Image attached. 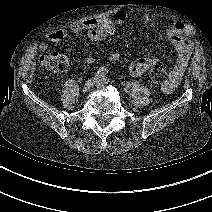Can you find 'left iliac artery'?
Returning a JSON list of instances; mask_svg holds the SVG:
<instances>
[{"instance_id":"1","label":"left iliac artery","mask_w":212,"mask_h":212,"mask_svg":"<svg viewBox=\"0 0 212 212\" xmlns=\"http://www.w3.org/2000/svg\"><path fill=\"white\" fill-rule=\"evenodd\" d=\"M103 82L104 83H108L109 82V79L107 77H103Z\"/></svg>"}]
</instances>
